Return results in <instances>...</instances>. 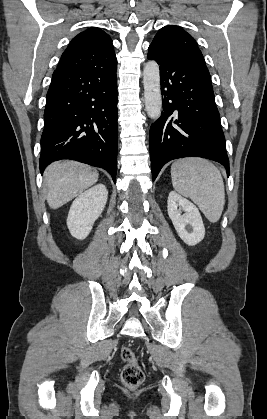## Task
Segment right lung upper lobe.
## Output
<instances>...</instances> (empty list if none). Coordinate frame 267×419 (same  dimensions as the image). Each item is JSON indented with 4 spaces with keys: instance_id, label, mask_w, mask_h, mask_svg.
Here are the masks:
<instances>
[{
    "instance_id": "1",
    "label": "right lung upper lobe",
    "mask_w": 267,
    "mask_h": 419,
    "mask_svg": "<svg viewBox=\"0 0 267 419\" xmlns=\"http://www.w3.org/2000/svg\"><path fill=\"white\" fill-rule=\"evenodd\" d=\"M116 61L111 38L101 29L92 27L71 40L57 69H95Z\"/></svg>"
}]
</instances>
